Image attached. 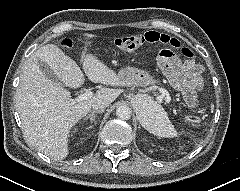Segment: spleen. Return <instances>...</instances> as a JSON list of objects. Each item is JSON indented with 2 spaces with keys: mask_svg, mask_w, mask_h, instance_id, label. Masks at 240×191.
Here are the masks:
<instances>
[{
  "mask_svg": "<svg viewBox=\"0 0 240 191\" xmlns=\"http://www.w3.org/2000/svg\"><path fill=\"white\" fill-rule=\"evenodd\" d=\"M147 99L150 106L146 107L145 113L140 117L142 126L159 138L177 136V132L163 108L153 104L149 98Z\"/></svg>",
  "mask_w": 240,
  "mask_h": 191,
  "instance_id": "3e777b00",
  "label": "spleen"
}]
</instances>
